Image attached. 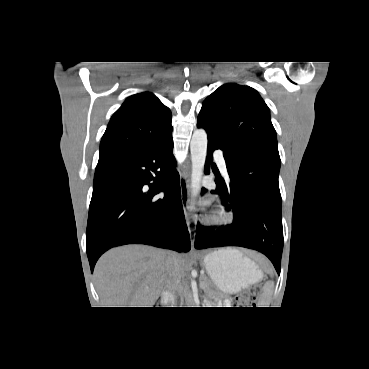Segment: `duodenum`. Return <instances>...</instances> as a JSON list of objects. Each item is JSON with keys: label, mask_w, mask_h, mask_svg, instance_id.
Masks as SVG:
<instances>
[{"label": "duodenum", "mask_w": 369, "mask_h": 369, "mask_svg": "<svg viewBox=\"0 0 369 369\" xmlns=\"http://www.w3.org/2000/svg\"><path fill=\"white\" fill-rule=\"evenodd\" d=\"M171 300H172V293L169 291H165L162 294V301L167 304V303H170Z\"/></svg>", "instance_id": "obj_1"}]
</instances>
